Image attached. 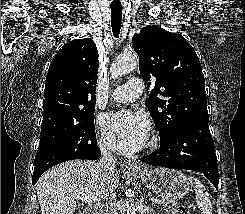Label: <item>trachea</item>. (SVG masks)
Masks as SVG:
<instances>
[{
    "instance_id": "obj_1",
    "label": "trachea",
    "mask_w": 245,
    "mask_h": 214,
    "mask_svg": "<svg viewBox=\"0 0 245 214\" xmlns=\"http://www.w3.org/2000/svg\"><path fill=\"white\" fill-rule=\"evenodd\" d=\"M122 24L121 4H111V26L114 37L118 38Z\"/></svg>"
}]
</instances>
